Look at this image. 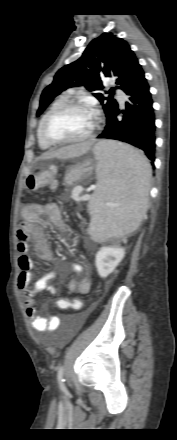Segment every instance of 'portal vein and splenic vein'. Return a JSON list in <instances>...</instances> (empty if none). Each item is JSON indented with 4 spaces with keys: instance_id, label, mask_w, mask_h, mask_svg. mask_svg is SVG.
<instances>
[{
    "instance_id": "portal-vein-and-splenic-vein-1",
    "label": "portal vein and splenic vein",
    "mask_w": 177,
    "mask_h": 440,
    "mask_svg": "<svg viewBox=\"0 0 177 440\" xmlns=\"http://www.w3.org/2000/svg\"><path fill=\"white\" fill-rule=\"evenodd\" d=\"M87 199H90V196H87Z\"/></svg>"
}]
</instances>
